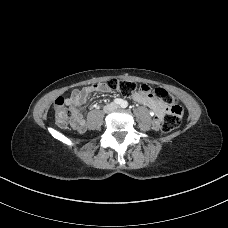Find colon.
I'll list each match as a JSON object with an SVG mask.
<instances>
[{"label": "colon", "mask_w": 228, "mask_h": 228, "mask_svg": "<svg viewBox=\"0 0 228 228\" xmlns=\"http://www.w3.org/2000/svg\"><path fill=\"white\" fill-rule=\"evenodd\" d=\"M94 85V84H92ZM96 85V84H95ZM108 90H116L120 93H152L154 94L164 107L167 108L168 114L162 123V130L165 133L175 130L183 115L182 107L178 104L177 99L163 88H155L152 90L149 86L144 84H137L132 81L123 80H110L107 83L100 84ZM54 118L59 127H66L75 119V112L71 107L66 105L64 98L59 97L56 99L54 106Z\"/></svg>", "instance_id": "1"}]
</instances>
